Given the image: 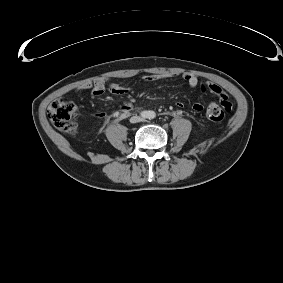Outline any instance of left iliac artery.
<instances>
[{
  "mask_svg": "<svg viewBox=\"0 0 283 283\" xmlns=\"http://www.w3.org/2000/svg\"><path fill=\"white\" fill-rule=\"evenodd\" d=\"M155 116H156L155 112L151 111V112H150V118L153 119V118H155Z\"/></svg>",
  "mask_w": 283,
  "mask_h": 283,
  "instance_id": "1",
  "label": "left iliac artery"
}]
</instances>
